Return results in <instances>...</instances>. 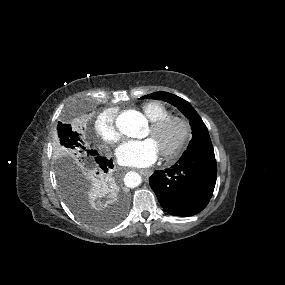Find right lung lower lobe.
<instances>
[{"label": "right lung lower lobe", "mask_w": 285, "mask_h": 285, "mask_svg": "<svg viewBox=\"0 0 285 285\" xmlns=\"http://www.w3.org/2000/svg\"><path fill=\"white\" fill-rule=\"evenodd\" d=\"M95 160L99 166V169L102 173V180L101 183H103L106 186L112 185V176H111V169L113 168L112 161L101 156L97 155L95 157Z\"/></svg>", "instance_id": "obj_1"}]
</instances>
